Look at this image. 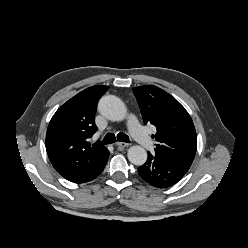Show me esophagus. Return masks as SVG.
I'll return each instance as SVG.
<instances>
[{
    "label": "esophagus",
    "instance_id": "34e87169",
    "mask_svg": "<svg viewBox=\"0 0 248 248\" xmlns=\"http://www.w3.org/2000/svg\"><path fill=\"white\" fill-rule=\"evenodd\" d=\"M116 146H117V148H118L119 150H122V149L128 147L129 144H128V143H125V142H117V143H116Z\"/></svg>",
    "mask_w": 248,
    "mask_h": 248
}]
</instances>
